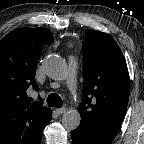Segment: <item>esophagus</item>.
Instances as JSON below:
<instances>
[{
    "mask_svg": "<svg viewBox=\"0 0 144 144\" xmlns=\"http://www.w3.org/2000/svg\"><path fill=\"white\" fill-rule=\"evenodd\" d=\"M56 112H57V114L61 115L66 112V108L65 107L59 108L56 110Z\"/></svg>",
    "mask_w": 144,
    "mask_h": 144,
    "instance_id": "esophagus-1",
    "label": "esophagus"
}]
</instances>
